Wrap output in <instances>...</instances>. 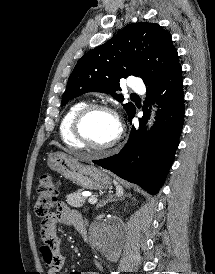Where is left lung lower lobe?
<instances>
[{"instance_id": "0a47b994", "label": "left lung lower lobe", "mask_w": 215, "mask_h": 274, "mask_svg": "<svg viewBox=\"0 0 215 274\" xmlns=\"http://www.w3.org/2000/svg\"><path fill=\"white\" fill-rule=\"evenodd\" d=\"M146 86V101L142 109L144 115L139 119V127H132L128 142L118 154L94 160L93 163L138 184L150 194H157L174 160L183 128L181 65L159 81ZM155 101L160 109L154 126L146 133L145 125L150 115L148 106ZM135 112L129 115L130 120Z\"/></svg>"}]
</instances>
